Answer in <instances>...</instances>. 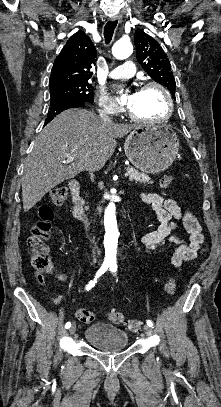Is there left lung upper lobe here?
<instances>
[{
  "label": "left lung upper lobe",
  "mask_w": 221,
  "mask_h": 407,
  "mask_svg": "<svg viewBox=\"0 0 221 407\" xmlns=\"http://www.w3.org/2000/svg\"><path fill=\"white\" fill-rule=\"evenodd\" d=\"M134 41L137 46V60L148 75L167 87L175 99L176 83L171 64L159 43L142 30H136Z\"/></svg>",
  "instance_id": "left-lung-upper-lobe-1"
}]
</instances>
